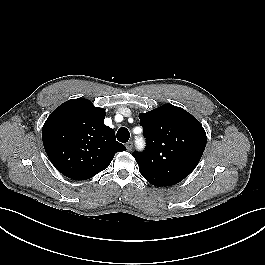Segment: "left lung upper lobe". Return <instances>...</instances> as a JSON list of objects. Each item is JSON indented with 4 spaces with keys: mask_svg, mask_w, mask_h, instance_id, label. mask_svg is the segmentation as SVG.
<instances>
[{
    "mask_svg": "<svg viewBox=\"0 0 265 265\" xmlns=\"http://www.w3.org/2000/svg\"><path fill=\"white\" fill-rule=\"evenodd\" d=\"M146 149L133 152L142 176L152 185H175L197 166L206 147L200 122L180 107L166 104L139 115Z\"/></svg>",
    "mask_w": 265,
    "mask_h": 265,
    "instance_id": "5c2ea615",
    "label": "left lung upper lobe"
}]
</instances>
